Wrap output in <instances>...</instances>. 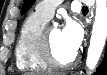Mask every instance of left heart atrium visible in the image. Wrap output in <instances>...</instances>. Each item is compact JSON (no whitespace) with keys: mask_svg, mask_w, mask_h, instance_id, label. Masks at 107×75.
Returning <instances> with one entry per match:
<instances>
[{"mask_svg":"<svg viewBox=\"0 0 107 75\" xmlns=\"http://www.w3.org/2000/svg\"><path fill=\"white\" fill-rule=\"evenodd\" d=\"M61 34L65 45L75 53L83 39V30L80 24L75 20H68L61 30Z\"/></svg>","mask_w":107,"mask_h":75,"instance_id":"39dd6f15","label":"left heart atrium"}]
</instances>
